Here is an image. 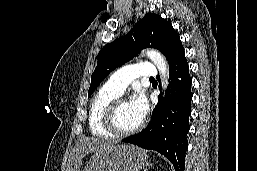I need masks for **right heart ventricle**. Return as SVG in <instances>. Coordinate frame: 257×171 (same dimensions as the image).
Returning <instances> with one entry per match:
<instances>
[{
	"mask_svg": "<svg viewBox=\"0 0 257 171\" xmlns=\"http://www.w3.org/2000/svg\"><path fill=\"white\" fill-rule=\"evenodd\" d=\"M121 94L103 85L94 95L88 112V124L92 135L97 137H112L103 125L104 112L107 105Z\"/></svg>",
	"mask_w": 257,
	"mask_h": 171,
	"instance_id": "e07e8e85",
	"label": "right heart ventricle"
}]
</instances>
